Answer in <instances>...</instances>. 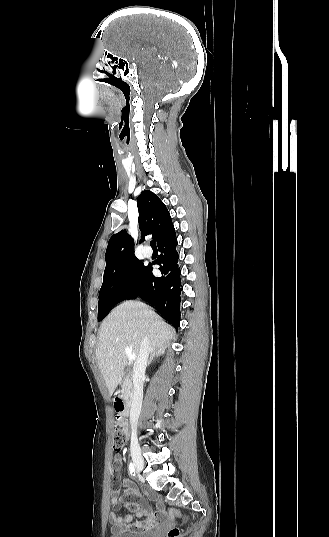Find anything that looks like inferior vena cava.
<instances>
[{"mask_svg":"<svg viewBox=\"0 0 329 537\" xmlns=\"http://www.w3.org/2000/svg\"><path fill=\"white\" fill-rule=\"evenodd\" d=\"M151 351L150 340L145 336L141 342L139 354L133 365V384L134 391L130 409V425L133 432L137 431L138 418L141 412L143 399V378L147 366L148 356Z\"/></svg>","mask_w":329,"mask_h":537,"instance_id":"1","label":"inferior vena cava"}]
</instances>
